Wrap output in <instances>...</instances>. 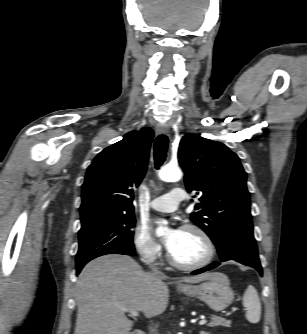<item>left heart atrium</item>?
Wrapping results in <instances>:
<instances>
[{"mask_svg": "<svg viewBox=\"0 0 307 334\" xmlns=\"http://www.w3.org/2000/svg\"><path fill=\"white\" fill-rule=\"evenodd\" d=\"M182 234V230L177 227H171L164 238V244L166 248L171 251L175 248V246L178 244L180 237Z\"/></svg>", "mask_w": 307, "mask_h": 334, "instance_id": "1", "label": "left heart atrium"}]
</instances>
